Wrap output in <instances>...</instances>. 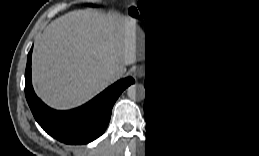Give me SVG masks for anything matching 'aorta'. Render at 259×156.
<instances>
[{
  "label": "aorta",
  "instance_id": "762f6f07",
  "mask_svg": "<svg viewBox=\"0 0 259 156\" xmlns=\"http://www.w3.org/2000/svg\"><path fill=\"white\" fill-rule=\"evenodd\" d=\"M128 95L138 101L145 97V90L141 85H132L128 88Z\"/></svg>",
  "mask_w": 259,
  "mask_h": 156
}]
</instances>
